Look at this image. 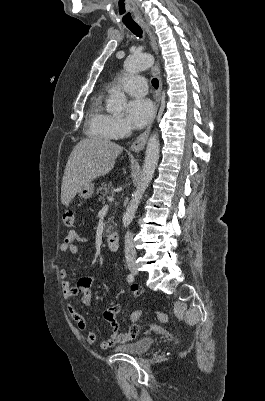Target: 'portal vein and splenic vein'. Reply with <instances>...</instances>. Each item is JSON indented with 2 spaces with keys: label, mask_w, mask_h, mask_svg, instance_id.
Returning a JSON list of instances; mask_svg holds the SVG:
<instances>
[{
  "label": "portal vein and splenic vein",
  "mask_w": 265,
  "mask_h": 401,
  "mask_svg": "<svg viewBox=\"0 0 265 401\" xmlns=\"http://www.w3.org/2000/svg\"><path fill=\"white\" fill-rule=\"evenodd\" d=\"M108 201H113V196H109ZM103 209H108V205H105Z\"/></svg>",
  "instance_id": "portal-vein-and-splenic-vein-1"
}]
</instances>
